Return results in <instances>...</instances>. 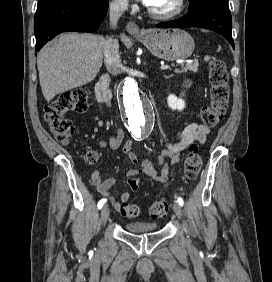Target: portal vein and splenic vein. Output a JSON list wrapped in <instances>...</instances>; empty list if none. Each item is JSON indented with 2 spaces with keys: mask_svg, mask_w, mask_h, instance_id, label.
Instances as JSON below:
<instances>
[{
  "mask_svg": "<svg viewBox=\"0 0 272 282\" xmlns=\"http://www.w3.org/2000/svg\"><path fill=\"white\" fill-rule=\"evenodd\" d=\"M160 69H161V70H168V69H170V65H162V66L160 67Z\"/></svg>",
  "mask_w": 272,
  "mask_h": 282,
  "instance_id": "1",
  "label": "portal vein and splenic vein"
}]
</instances>
